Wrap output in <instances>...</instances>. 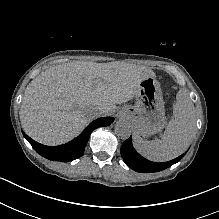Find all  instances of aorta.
Masks as SVG:
<instances>
[{"label":"aorta","mask_w":219,"mask_h":219,"mask_svg":"<svg viewBox=\"0 0 219 219\" xmlns=\"http://www.w3.org/2000/svg\"><path fill=\"white\" fill-rule=\"evenodd\" d=\"M114 131L115 134L122 140L129 138L132 133L131 125L125 120L117 121L114 126Z\"/></svg>","instance_id":"obj_1"}]
</instances>
